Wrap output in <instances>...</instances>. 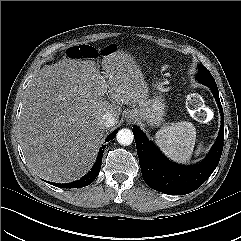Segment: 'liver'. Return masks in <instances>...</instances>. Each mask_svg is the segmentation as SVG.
Wrapping results in <instances>:
<instances>
[{"label":"liver","mask_w":241,"mask_h":241,"mask_svg":"<svg viewBox=\"0 0 241 241\" xmlns=\"http://www.w3.org/2000/svg\"><path fill=\"white\" fill-rule=\"evenodd\" d=\"M101 66L102 74L94 61L64 58L32 78L18 129L27 165L41 178L67 183L84 176L105 133L102 116L110 112L118 122L121 105L148 99L144 76L129 54L112 52Z\"/></svg>","instance_id":"liver-1"}]
</instances>
